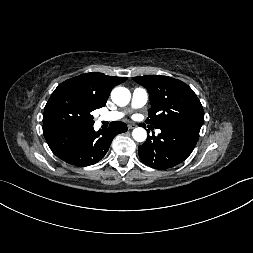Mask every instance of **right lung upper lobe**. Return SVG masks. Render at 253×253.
Listing matches in <instances>:
<instances>
[{"label":"right lung upper lobe","mask_w":253,"mask_h":253,"mask_svg":"<svg viewBox=\"0 0 253 253\" xmlns=\"http://www.w3.org/2000/svg\"><path fill=\"white\" fill-rule=\"evenodd\" d=\"M127 77L107 76L102 73H86L67 81L76 84L95 102L104 106L111 90L126 81Z\"/></svg>","instance_id":"1"}]
</instances>
